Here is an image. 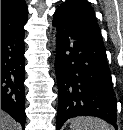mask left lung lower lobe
<instances>
[{
  "instance_id": "obj_1",
  "label": "left lung lower lobe",
  "mask_w": 123,
  "mask_h": 130,
  "mask_svg": "<svg viewBox=\"0 0 123 130\" xmlns=\"http://www.w3.org/2000/svg\"><path fill=\"white\" fill-rule=\"evenodd\" d=\"M53 25L57 29V130L80 115L98 116L117 127V100L102 38L82 30L60 9L54 13Z\"/></svg>"
}]
</instances>
